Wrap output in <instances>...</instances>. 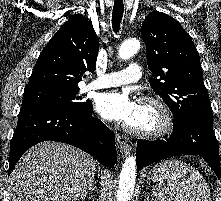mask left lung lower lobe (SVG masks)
<instances>
[{"instance_id": "1", "label": "left lung lower lobe", "mask_w": 221, "mask_h": 201, "mask_svg": "<svg viewBox=\"0 0 221 201\" xmlns=\"http://www.w3.org/2000/svg\"><path fill=\"white\" fill-rule=\"evenodd\" d=\"M180 155L203 157L212 170L221 177L219 145L213 131V119L191 118L178 126L167 140H138L137 170L156 161Z\"/></svg>"}]
</instances>
